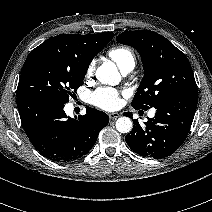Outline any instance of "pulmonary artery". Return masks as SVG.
<instances>
[{
    "label": "pulmonary artery",
    "mask_w": 212,
    "mask_h": 212,
    "mask_svg": "<svg viewBox=\"0 0 212 212\" xmlns=\"http://www.w3.org/2000/svg\"><path fill=\"white\" fill-rule=\"evenodd\" d=\"M133 68H134V66L130 65V66L126 67L125 69H123L122 72L124 74H127V73L131 72L133 70ZM154 115H155V111L152 110L149 112V117H153Z\"/></svg>",
    "instance_id": "obj_1"
}]
</instances>
